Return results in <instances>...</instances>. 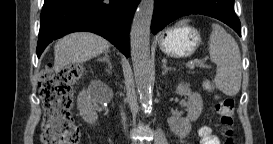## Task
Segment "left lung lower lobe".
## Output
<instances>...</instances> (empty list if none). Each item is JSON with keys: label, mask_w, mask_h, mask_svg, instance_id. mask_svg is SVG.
<instances>
[{"label": "left lung lower lobe", "mask_w": 273, "mask_h": 144, "mask_svg": "<svg viewBox=\"0 0 273 144\" xmlns=\"http://www.w3.org/2000/svg\"><path fill=\"white\" fill-rule=\"evenodd\" d=\"M202 14L221 20L241 36V26L234 11V0H155L151 31L156 34L175 19Z\"/></svg>", "instance_id": "obj_1"}]
</instances>
